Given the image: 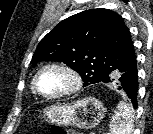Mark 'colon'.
I'll return each mask as SVG.
<instances>
[{
  "instance_id": "obj_1",
  "label": "colon",
  "mask_w": 153,
  "mask_h": 134,
  "mask_svg": "<svg viewBox=\"0 0 153 134\" xmlns=\"http://www.w3.org/2000/svg\"><path fill=\"white\" fill-rule=\"evenodd\" d=\"M51 133L52 134H78L74 131H71V130H65L64 128L62 127H53L52 130H51Z\"/></svg>"
}]
</instances>
